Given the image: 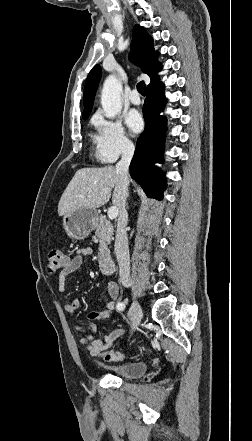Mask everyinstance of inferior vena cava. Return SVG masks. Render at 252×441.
Wrapping results in <instances>:
<instances>
[{
    "label": "inferior vena cava",
    "instance_id": "obj_1",
    "mask_svg": "<svg viewBox=\"0 0 252 441\" xmlns=\"http://www.w3.org/2000/svg\"><path fill=\"white\" fill-rule=\"evenodd\" d=\"M134 155V146L126 145L122 152L121 160L116 164V170L121 176V204L119 208V217L117 222V231L115 239V254L119 264V275L122 284L125 287L130 286V255L128 247V237L126 226L128 214L126 211V199L128 196L129 174L128 169Z\"/></svg>",
    "mask_w": 252,
    "mask_h": 441
}]
</instances>
